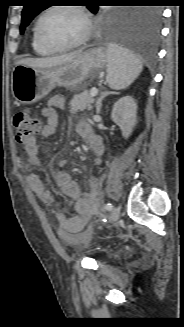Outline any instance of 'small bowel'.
<instances>
[{"label": "small bowel", "instance_id": "c3829d8e", "mask_svg": "<svg viewBox=\"0 0 184 327\" xmlns=\"http://www.w3.org/2000/svg\"><path fill=\"white\" fill-rule=\"evenodd\" d=\"M65 99L56 95L50 98L48 106L41 111L42 117L46 119V124L39 132V139L44 140L52 136L58 125V115L56 108H64ZM76 132L91 146L94 152L100 156L103 153V144L101 138L97 136L87 123H79L76 126ZM24 150L33 163L39 166V143L38 139H33L24 145ZM54 178L59 185L62 193L71 201L73 214L64 217L58 214V220L61 227L68 233L80 232L88 220L93 217L98 209V180L95 177L87 181V191L82 192L80 186L73 181L68 174L62 171H54ZM28 184L39 200L48 205H52L55 199L47 189L44 181L36 174L28 177Z\"/></svg>", "mask_w": 184, "mask_h": 327}]
</instances>
